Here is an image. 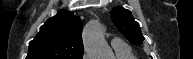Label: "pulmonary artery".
Masks as SVG:
<instances>
[{"instance_id": "obj_1", "label": "pulmonary artery", "mask_w": 193, "mask_h": 59, "mask_svg": "<svg viewBox=\"0 0 193 59\" xmlns=\"http://www.w3.org/2000/svg\"><path fill=\"white\" fill-rule=\"evenodd\" d=\"M112 47L114 50H123L129 48L127 44H125L122 40L119 38H114L112 40Z\"/></svg>"}]
</instances>
